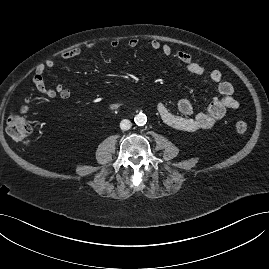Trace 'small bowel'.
I'll use <instances>...</instances> for the list:
<instances>
[{
	"label": "small bowel",
	"mask_w": 269,
	"mask_h": 269,
	"mask_svg": "<svg viewBox=\"0 0 269 269\" xmlns=\"http://www.w3.org/2000/svg\"><path fill=\"white\" fill-rule=\"evenodd\" d=\"M109 45L111 48L117 49L120 46V42L117 39H112ZM127 45L129 48L134 49L138 47L139 40L137 38H131L128 40ZM93 47L94 44L87 46L88 49ZM150 47L153 50L159 51L165 58L175 59L191 75L199 78L206 75L205 67L195 62L189 52L174 51L170 45L163 44L159 40H152ZM80 54L81 49L73 48L65 51L61 57L63 60H69ZM54 66L55 62L53 60H48L44 64L38 65L33 75V84L41 94L48 98L60 97L62 99H68L71 96L69 88L62 84L50 87L45 82V72ZM209 77L217 85L220 96L215 97L204 111L193 115L191 101L183 98L177 103V114L172 113L165 104L159 103L156 107L159 118L169 127L181 131L194 132L211 128L225 116L228 110L238 109L240 102L233 96L234 87L230 82L223 79L221 71L213 70L210 72Z\"/></svg>",
	"instance_id": "c3829d8e"
}]
</instances>
